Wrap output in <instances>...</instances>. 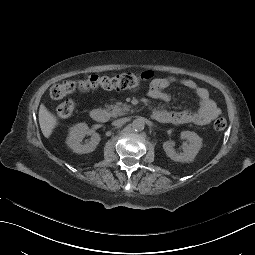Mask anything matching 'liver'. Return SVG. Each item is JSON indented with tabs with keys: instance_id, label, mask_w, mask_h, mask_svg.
<instances>
[{
	"instance_id": "1",
	"label": "liver",
	"mask_w": 255,
	"mask_h": 255,
	"mask_svg": "<svg viewBox=\"0 0 255 255\" xmlns=\"http://www.w3.org/2000/svg\"><path fill=\"white\" fill-rule=\"evenodd\" d=\"M39 124L41 131L46 138H49L52 130L57 125L56 117L51 114L43 104H41L39 108Z\"/></svg>"
}]
</instances>
